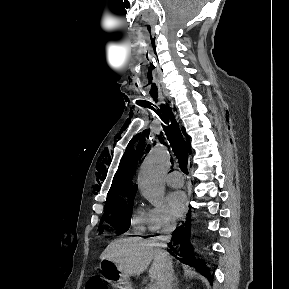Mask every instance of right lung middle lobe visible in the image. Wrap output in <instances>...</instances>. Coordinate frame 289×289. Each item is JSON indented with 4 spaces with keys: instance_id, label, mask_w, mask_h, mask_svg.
<instances>
[{
    "instance_id": "dd1d6c3e",
    "label": "right lung middle lobe",
    "mask_w": 289,
    "mask_h": 289,
    "mask_svg": "<svg viewBox=\"0 0 289 289\" xmlns=\"http://www.w3.org/2000/svg\"><path fill=\"white\" fill-rule=\"evenodd\" d=\"M134 197L121 202L106 203L105 212L101 218L99 233L103 232L101 224L107 222L117 228L118 233L125 232L130 226L131 208Z\"/></svg>"
}]
</instances>
